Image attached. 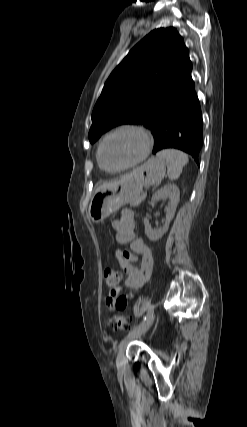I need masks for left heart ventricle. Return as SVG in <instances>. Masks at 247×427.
Masks as SVG:
<instances>
[{
  "instance_id": "left-heart-ventricle-1",
  "label": "left heart ventricle",
  "mask_w": 247,
  "mask_h": 427,
  "mask_svg": "<svg viewBox=\"0 0 247 427\" xmlns=\"http://www.w3.org/2000/svg\"><path fill=\"white\" fill-rule=\"evenodd\" d=\"M144 149V139L132 130L110 137L102 149V161L108 169H118L135 161Z\"/></svg>"
}]
</instances>
